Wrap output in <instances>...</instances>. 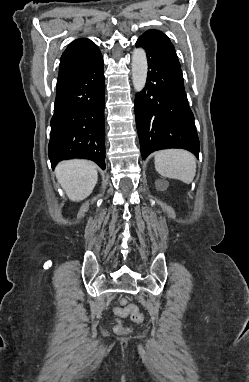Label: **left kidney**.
I'll use <instances>...</instances> for the list:
<instances>
[{
	"mask_svg": "<svg viewBox=\"0 0 249 382\" xmlns=\"http://www.w3.org/2000/svg\"><path fill=\"white\" fill-rule=\"evenodd\" d=\"M155 186H156V189L164 191L168 188L169 183L167 181L159 179L155 181Z\"/></svg>",
	"mask_w": 249,
	"mask_h": 382,
	"instance_id": "left-kidney-1",
	"label": "left kidney"
}]
</instances>
